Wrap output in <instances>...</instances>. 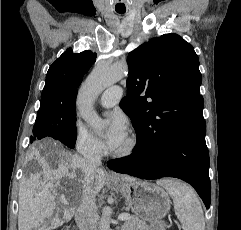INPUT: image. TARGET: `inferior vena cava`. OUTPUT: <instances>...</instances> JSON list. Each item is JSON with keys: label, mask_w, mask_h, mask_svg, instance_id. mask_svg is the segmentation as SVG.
Masks as SVG:
<instances>
[{"label": "inferior vena cava", "mask_w": 241, "mask_h": 230, "mask_svg": "<svg viewBox=\"0 0 241 230\" xmlns=\"http://www.w3.org/2000/svg\"><path fill=\"white\" fill-rule=\"evenodd\" d=\"M101 164V155L96 152L84 154L81 170L84 174V198L75 213L79 230H97V207L91 194L95 169Z\"/></svg>", "instance_id": "602c4592"}]
</instances>
